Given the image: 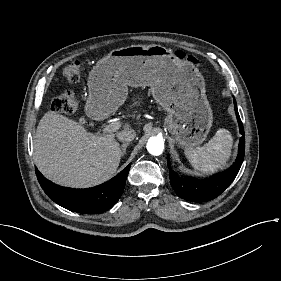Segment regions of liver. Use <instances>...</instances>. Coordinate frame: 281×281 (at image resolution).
<instances>
[{"instance_id": "liver-1", "label": "liver", "mask_w": 281, "mask_h": 281, "mask_svg": "<svg viewBox=\"0 0 281 281\" xmlns=\"http://www.w3.org/2000/svg\"><path fill=\"white\" fill-rule=\"evenodd\" d=\"M35 164L50 181L85 189L112 178L120 161L112 133H88L76 121L47 112L39 121L33 146Z\"/></svg>"}]
</instances>
